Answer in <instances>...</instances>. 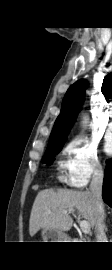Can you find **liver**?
Masks as SVG:
<instances>
[{
	"mask_svg": "<svg viewBox=\"0 0 112 270\" xmlns=\"http://www.w3.org/2000/svg\"><path fill=\"white\" fill-rule=\"evenodd\" d=\"M78 213L94 228L95 204L90 191L44 189L39 191L30 214L29 233L34 236L40 229L68 231L73 225L69 211Z\"/></svg>",
	"mask_w": 112,
	"mask_h": 270,
	"instance_id": "1",
	"label": "liver"
}]
</instances>
